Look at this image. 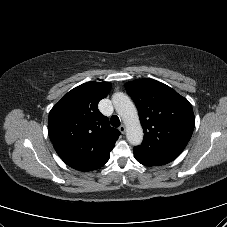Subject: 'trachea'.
Returning <instances> with one entry per match:
<instances>
[{
    "mask_svg": "<svg viewBox=\"0 0 227 227\" xmlns=\"http://www.w3.org/2000/svg\"><path fill=\"white\" fill-rule=\"evenodd\" d=\"M110 123H111V125L114 126V127H119L120 124H121L119 117L116 116V115H113V116L111 117Z\"/></svg>",
    "mask_w": 227,
    "mask_h": 227,
    "instance_id": "trachea-1",
    "label": "trachea"
}]
</instances>
